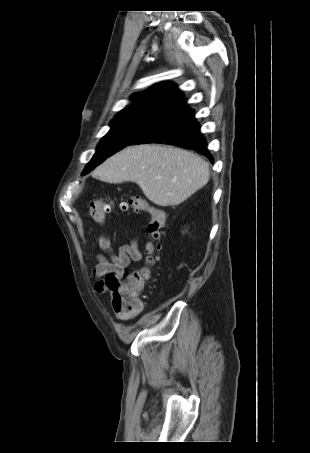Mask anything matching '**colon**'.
<instances>
[{
  "label": "colon",
  "mask_w": 310,
  "mask_h": 453,
  "mask_svg": "<svg viewBox=\"0 0 310 453\" xmlns=\"http://www.w3.org/2000/svg\"><path fill=\"white\" fill-rule=\"evenodd\" d=\"M113 207L108 199H96L90 203V215L99 224L106 221L107 214ZM122 211L133 210L137 213H146L149 217L147 225L148 242L145 247V264L139 269L126 272L124 280L108 277L109 290L112 294V306L117 314L132 317L139 314L144 307L139 293L150 279L151 267L159 259L160 247L158 242L164 235L166 217L163 211L148 204L138 196L129 197L120 203Z\"/></svg>",
  "instance_id": "obj_1"
}]
</instances>
